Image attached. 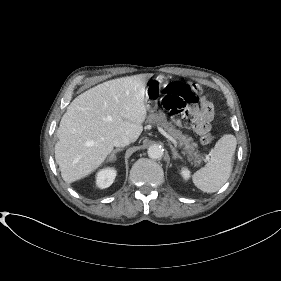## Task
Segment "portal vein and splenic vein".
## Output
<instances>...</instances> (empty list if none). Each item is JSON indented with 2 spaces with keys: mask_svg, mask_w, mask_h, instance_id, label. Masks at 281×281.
Here are the masks:
<instances>
[{
  "mask_svg": "<svg viewBox=\"0 0 281 281\" xmlns=\"http://www.w3.org/2000/svg\"><path fill=\"white\" fill-rule=\"evenodd\" d=\"M159 132L165 136L169 141H171L175 146H178L177 141L171 136L169 135L162 127H158ZM209 159V155H206V160Z\"/></svg>",
  "mask_w": 281,
  "mask_h": 281,
  "instance_id": "18ae733b",
  "label": "portal vein and splenic vein"
}]
</instances>
